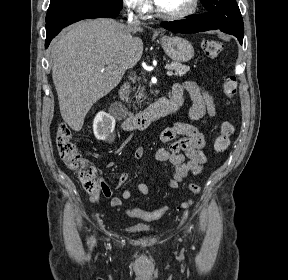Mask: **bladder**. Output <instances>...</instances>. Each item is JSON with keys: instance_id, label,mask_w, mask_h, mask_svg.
I'll return each instance as SVG.
<instances>
[{"instance_id": "31cf9c89", "label": "bladder", "mask_w": 288, "mask_h": 280, "mask_svg": "<svg viewBox=\"0 0 288 280\" xmlns=\"http://www.w3.org/2000/svg\"><path fill=\"white\" fill-rule=\"evenodd\" d=\"M131 229L134 230V231H149L150 230V227L148 225H145V224H135L133 226H131Z\"/></svg>"}]
</instances>
